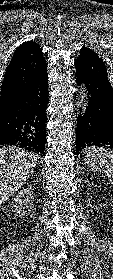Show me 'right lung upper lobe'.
<instances>
[{"mask_svg":"<svg viewBox=\"0 0 113 279\" xmlns=\"http://www.w3.org/2000/svg\"><path fill=\"white\" fill-rule=\"evenodd\" d=\"M45 68L47 64L42 48L37 43L28 41L20 45L14 51L4 75L0 90V111Z\"/></svg>","mask_w":113,"mask_h":279,"instance_id":"right-lung-upper-lobe-1","label":"right lung upper lobe"}]
</instances>
